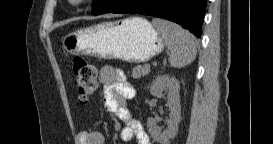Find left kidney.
I'll list each match as a JSON object with an SVG mask.
<instances>
[{"label":"left kidney","mask_w":273,"mask_h":144,"mask_svg":"<svg viewBox=\"0 0 273 144\" xmlns=\"http://www.w3.org/2000/svg\"><path fill=\"white\" fill-rule=\"evenodd\" d=\"M163 91L167 93V104L170 110L167 128L161 131L154 118H148L147 127L155 141L160 144H168L169 140L176 136L178 124L181 120L179 81L168 74L157 76L150 87V93L153 96L162 97Z\"/></svg>","instance_id":"1"}]
</instances>
